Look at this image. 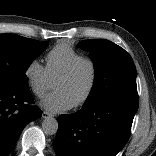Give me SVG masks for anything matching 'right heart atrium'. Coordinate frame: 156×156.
I'll return each instance as SVG.
<instances>
[{"mask_svg": "<svg viewBox=\"0 0 156 156\" xmlns=\"http://www.w3.org/2000/svg\"><path fill=\"white\" fill-rule=\"evenodd\" d=\"M24 77L29 89L37 97H42L51 86L46 67L36 59L27 64Z\"/></svg>", "mask_w": 156, "mask_h": 156, "instance_id": "obj_1", "label": "right heart atrium"}]
</instances>
